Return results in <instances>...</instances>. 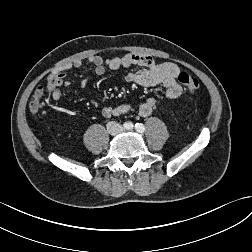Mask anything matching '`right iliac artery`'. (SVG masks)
<instances>
[{
	"label": "right iliac artery",
	"mask_w": 252,
	"mask_h": 252,
	"mask_svg": "<svg viewBox=\"0 0 252 252\" xmlns=\"http://www.w3.org/2000/svg\"><path fill=\"white\" fill-rule=\"evenodd\" d=\"M124 128H126V129H131L132 127H133V124L131 123V122H126V123H124Z\"/></svg>",
	"instance_id": "82829eb1"
}]
</instances>
